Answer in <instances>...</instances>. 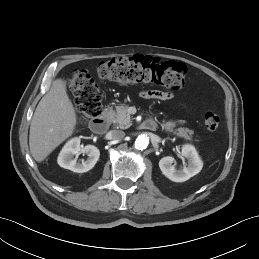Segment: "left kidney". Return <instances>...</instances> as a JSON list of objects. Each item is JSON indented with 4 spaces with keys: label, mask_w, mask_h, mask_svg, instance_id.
Instances as JSON below:
<instances>
[{
    "label": "left kidney",
    "mask_w": 259,
    "mask_h": 259,
    "mask_svg": "<svg viewBox=\"0 0 259 259\" xmlns=\"http://www.w3.org/2000/svg\"><path fill=\"white\" fill-rule=\"evenodd\" d=\"M181 155L188 160V163L184 164L183 169H176L172 163L174 158L166 156L159 161V167L162 173L171 181L184 182L198 174L202 167L203 162L200 159L194 146L186 144L182 147Z\"/></svg>",
    "instance_id": "obj_1"
}]
</instances>
